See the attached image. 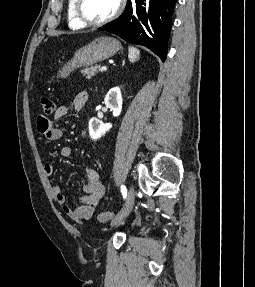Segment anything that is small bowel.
Listing matches in <instances>:
<instances>
[{
	"label": "small bowel",
	"instance_id": "obj_1",
	"mask_svg": "<svg viewBox=\"0 0 255 287\" xmlns=\"http://www.w3.org/2000/svg\"><path fill=\"white\" fill-rule=\"evenodd\" d=\"M87 101V93H78L70 106H60L53 115V119L45 116H39L37 119L38 131L50 142L58 141L62 138L63 132L56 125V122L65 117L72 110L81 109ZM72 154V149L69 146H64L60 149L59 155L62 158H68ZM44 170L48 176L55 173V168L52 163H47ZM86 182L83 185L84 194L80 196V204L77 207L69 206L66 201V195L63 193L59 185L52 187V194L56 203L61 206L62 212L75 222H83L92 218L95 208L105 194V187L101 182L100 175L97 170L87 168L85 171Z\"/></svg>",
	"mask_w": 255,
	"mask_h": 287
}]
</instances>
